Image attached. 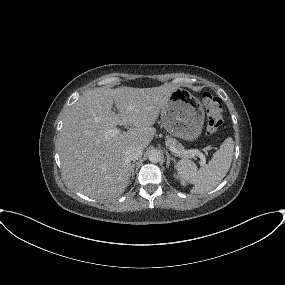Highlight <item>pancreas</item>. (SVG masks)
Segmentation results:
<instances>
[{
    "mask_svg": "<svg viewBox=\"0 0 285 285\" xmlns=\"http://www.w3.org/2000/svg\"><path fill=\"white\" fill-rule=\"evenodd\" d=\"M167 143L179 151V153H175L177 156L184 158V159H189L192 157L190 153H186L187 150H185L184 147L180 143H177L175 139L168 138Z\"/></svg>",
    "mask_w": 285,
    "mask_h": 285,
    "instance_id": "cf45deb5",
    "label": "pancreas"
}]
</instances>
